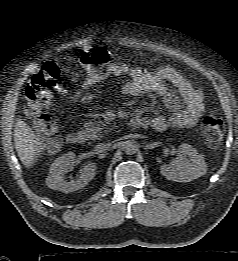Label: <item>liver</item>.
Here are the masks:
<instances>
[{"instance_id": "6515ba94", "label": "liver", "mask_w": 238, "mask_h": 261, "mask_svg": "<svg viewBox=\"0 0 238 261\" xmlns=\"http://www.w3.org/2000/svg\"><path fill=\"white\" fill-rule=\"evenodd\" d=\"M14 144L18 156L25 167H31L39 155V138L30 126L21 119H17L14 128Z\"/></svg>"}]
</instances>
